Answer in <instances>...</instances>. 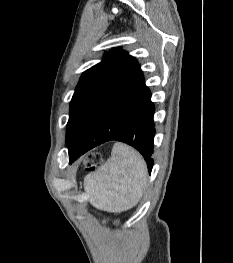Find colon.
<instances>
[{
    "instance_id": "1",
    "label": "colon",
    "mask_w": 233,
    "mask_h": 263,
    "mask_svg": "<svg viewBox=\"0 0 233 263\" xmlns=\"http://www.w3.org/2000/svg\"><path fill=\"white\" fill-rule=\"evenodd\" d=\"M89 168H95L102 163V156L99 153H91L86 159Z\"/></svg>"
}]
</instances>
